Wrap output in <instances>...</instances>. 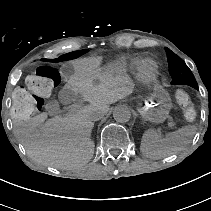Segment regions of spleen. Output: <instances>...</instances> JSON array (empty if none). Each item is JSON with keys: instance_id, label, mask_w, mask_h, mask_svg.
Listing matches in <instances>:
<instances>
[{"instance_id": "spleen-1", "label": "spleen", "mask_w": 211, "mask_h": 211, "mask_svg": "<svg viewBox=\"0 0 211 211\" xmlns=\"http://www.w3.org/2000/svg\"><path fill=\"white\" fill-rule=\"evenodd\" d=\"M195 132V126H184L162 137L155 130L149 129L142 136L140 151L151 159L167 157L190 144Z\"/></svg>"}]
</instances>
